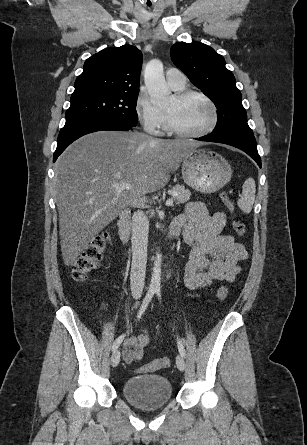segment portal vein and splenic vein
Returning <instances> with one entry per match:
<instances>
[{
  "label": "portal vein and splenic vein",
  "instance_id": "1",
  "mask_svg": "<svg viewBox=\"0 0 307 445\" xmlns=\"http://www.w3.org/2000/svg\"><path fill=\"white\" fill-rule=\"evenodd\" d=\"M112 186H114L116 190H130V188H133L130 182H113ZM165 204L166 206H173V198L166 200Z\"/></svg>",
  "mask_w": 307,
  "mask_h": 445
}]
</instances>
